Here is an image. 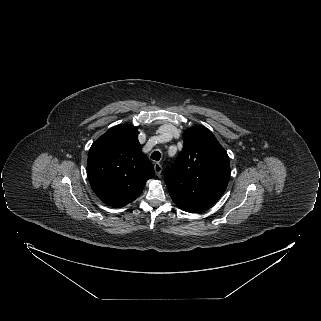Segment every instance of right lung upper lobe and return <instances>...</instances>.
Wrapping results in <instances>:
<instances>
[{
  "mask_svg": "<svg viewBox=\"0 0 321 321\" xmlns=\"http://www.w3.org/2000/svg\"><path fill=\"white\" fill-rule=\"evenodd\" d=\"M87 174L107 205L123 207L138 198L154 168L141 151L137 127L118 125L99 137L89 150Z\"/></svg>",
  "mask_w": 321,
  "mask_h": 321,
  "instance_id": "right-lung-upper-lobe-1",
  "label": "right lung upper lobe"
}]
</instances>
